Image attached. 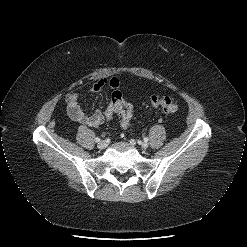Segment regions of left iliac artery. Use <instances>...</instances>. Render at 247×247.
Returning <instances> with one entry per match:
<instances>
[{
  "mask_svg": "<svg viewBox=\"0 0 247 247\" xmlns=\"http://www.w3.org/2000/svg\"><path fill=\"white\" fill-rule=\"evenodd\" d=\"M148 140H149L148 137H145V138H144V141H145V142H147Z\"/></svg>",
  "mask_w": 247,
  "mask_h": 247,
  "instance_id": "44dca946",
  "label": "left iliac artery"
}]
</instances>
